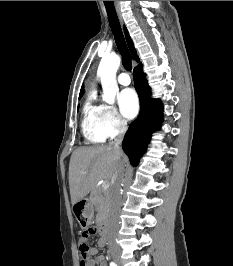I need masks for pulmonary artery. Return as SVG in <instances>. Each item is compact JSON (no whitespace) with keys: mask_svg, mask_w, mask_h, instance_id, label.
Here are the masks:
<instances>
[{"mask_svg":"<svg viewBox=\"0 0 233 266\" xmlns=\"http://www.w3.org/2000/svg\"><path fill=\"white\" fill-rule=\"evenodd\" d=\"M117 82L123 86H127L130 84L131 80H130L129 75L123 72L117 76Z\"/></svg>","mask_w":233,"mask_h":266,"instance_id":"pulmonary-artery-1","label":"pulmonary artery"}]
</instances>
